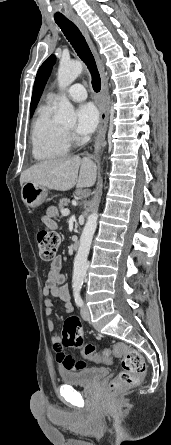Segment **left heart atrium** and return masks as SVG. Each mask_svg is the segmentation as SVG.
<instances>
[{"label":"left heart atrium","instance_id":"obj_1","mask_svg":"<svg viewBox=\"0 0 171 445\" xmlns=\"http://www.w3.org/2000/svg\"><path fill=\"white\" fill-rule=\"evenodd\" d=\"M99 123V111L92 103H85L77 109L76 132L81 135L92 133Z\"/></svg>","mask_w":171,"mask_h":445}]
</instances>
